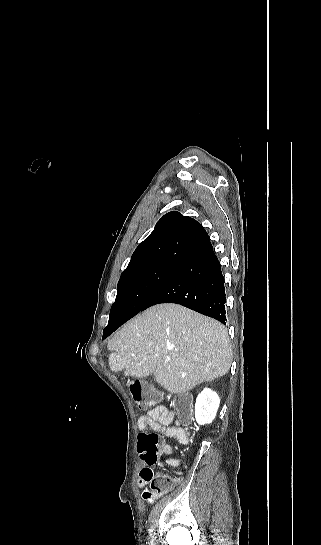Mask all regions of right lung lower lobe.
Wrapping results in <instances>:
<instances>
[{"mask_svg":"<svg viewBox=\"0 0 321 545\" xmlns=\"http://www.w3.org/2000/svg\"><path fill=\"white\" fill-rule=\"evenodd\" d=\"M225 302L224 277L210 243L178 267L141 311L155 304L176 303L226 324ZM126 321L108 323L102 339Z\"/></svg>","mask_w":321,"mask_h":545,"instance_id":"obj_1","label":"right lung lower lobe"}]
</instances>
